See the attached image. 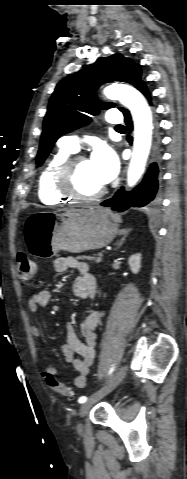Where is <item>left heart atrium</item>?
Wrapping results in <instances>:
<instances>
[{
    "label": "left heart atrium",
    "instance_id": "39dd6f15",
    "mask_svg": "<svg viewBox=\"0 0 187 479\" xmlns=\"http://www.w3.org/2000/svg\"><path fill=\"white\" fill-rule=\"evenodd\" d=\"M90 162L101 184L114 179L119 170V161L115 152L106 144L98 143L92 152Z\"/></svg>",
    "mask_w": 187,
    "mask_h": 479
}]
</instances>
